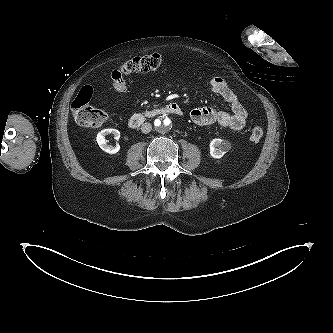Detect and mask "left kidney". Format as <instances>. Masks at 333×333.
Returning <instances> with one entry per match:
<instances>
[{
    "instance_id": "left-kidney-1",
    "label": "left kidney",
    "mask_w": 333,
    "mask_h": 333,
    "mask_svg": "<svg viewBox=\"0 0 333 333\" xmlns=\"http://www.w3.org/2000/svg\"><path fill=\"white\" fill-rule=\"evenodd\" d=\"M209 146H210V155L215 159L223 157L224 154L227 153L231 148V144L229 141L218 138L213 139L210 142Z\"/></svg>"
}]
</instances>
